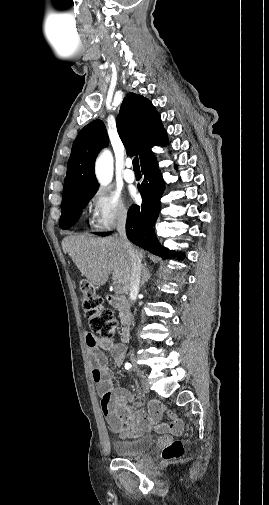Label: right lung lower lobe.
<instances>
[{"label":"right lung lower lobe","instance_id":"1","mask_svg":"<svg viewBox=\"0 0 269 505\" xmlns=\"http://www.w3.org/2000/svg\"><path fill=\"white\" fill-rule=\"evenodd\" d=\"M144 180L139 186V191L143 198L140 206L132 205L128 210L126 234L128 239L150 251L161 256L163 259L170 258L172 252L163 247L152 227L159 215L160 198L164 192L165 183L158 167L157 159L154 155L150 156L141 165ZM183 259V255H178Z\"/></svg>","mask_w":269,"mask_h":505}]
</instances>
